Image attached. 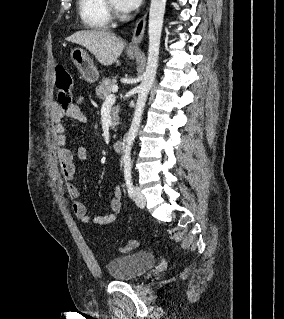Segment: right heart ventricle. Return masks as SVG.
I'll return each mask as SVG.
<instances>
[{"instance_id": "obj_1", "label": "right heart ventricle", "mask_w": 284, "mask_h": 319, "mask_svg": "<svg viewBox=\"0 0 284 319\" xmlns=\"http://www.w3.org/2000/svg\"><path fill=\"white\" fill-rule=\"evenodd\" d=\"M83 24L91 29H105L111 23V16L105 0H77Z\"/></svg>"}]
</instances>
